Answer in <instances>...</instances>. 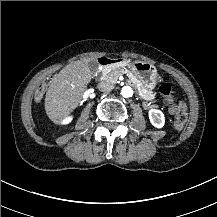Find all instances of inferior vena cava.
I'll list each match as a JSON object with an SVG mask.
<instances>
[{
    "mask_svg": "<svg viewBox=\"0 0 217 217\" xmlns=\"http://www.w3.org/2000/svg\"><path fill=\"white\" fill-rule=\"evenodd\" d=\"M98 89L101 92L109 93L113 89V87L110 82L103 80L98 84Z\"/></svg>",
    "mask_w": 217,
    "mask_h": 217,
    "instance_id": "obj_1",
    "label": "inferior vena cava"
}]
</instances>
